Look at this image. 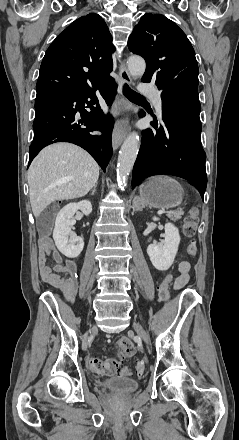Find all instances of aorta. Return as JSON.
Here are the masks:
<instances>
[{
  "label": "aorta",
  "instance_id": "aorta-1",
  "mask_svg": "<svg viewBox=\"0 0 239 440\" xmlns=\"http://www.w3.org/2000/svg\"><path fill=\"white\" fill-rule=\"evenodd\" d=\"M131 76H143L146 70L145 60L140 56H130L127 62ZM140 148V138L132 132L127 136L118 156L117 176L121 184H126L128 176L134 166Z\"/></svg>",
  "mask_w": 239,
  "mask_h": 440
}]
</instances>
